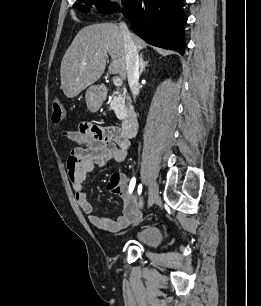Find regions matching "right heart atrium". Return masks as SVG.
Returning a JSON list of instances; mask_svg holds the SVG:
<instances>
[{
    "label": "right heart atrium",
    "mask_w": 261,
    "mask_h": 306,
    "mask_svg": "<svg viewBox=\"0 0 261 306\" xmlns=\"http://www.w3.org/2000/svg\"><path fill=\"white\" fill-rule=\"evenodd\" d=\"M105 1L110 5H117L120 2V0H105Z\"/></svg>",
    "instance_id": "1"
}]
</instances>
